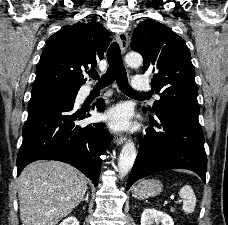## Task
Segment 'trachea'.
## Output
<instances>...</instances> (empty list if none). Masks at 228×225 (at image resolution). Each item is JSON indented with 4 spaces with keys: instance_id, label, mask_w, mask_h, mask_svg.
Instances as JSON below:
<instances>
[{
    "instance_id": "1",
    "label": "trachea",
    "mask_w": 228,
    "mask_h": 225,
    "mask_svg": "<svg viewBox=\"0 0 228 225\" xmlns=\"http://www.w3.org/2000/svg\"><path fill=\"white\" fill-rule=\"evenodd\" d=\"M107 61L109 63V67L107 69V72L102 75L101 78H99L95 70L89 72L90 77L94 78L95 80L98 79L96 87L104 88L108 85H111L116 80L121 92L125 93L126 95L150 98V94H147V92H137L132 87H130L128 83L127 73L123 65L120 48L117 43H112L110 45L107 51Z\"/></svg>"
}]
</instances>
